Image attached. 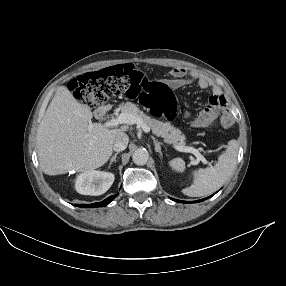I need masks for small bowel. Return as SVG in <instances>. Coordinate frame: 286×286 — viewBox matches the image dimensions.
<instances>
[{
  "label": "small bowel",
  "instance_id": "small-bowel-1",
  "mask_svg": "<svg viewBox=\"0 0 286 286\" xmlns=\"http://www.w3.org/2000/svg\"><path fill=\"white\" fill-rule=\"evenodd\" d=\"M171 79L168 80V85L172 90H177L178 88L189 84L196 83L201 89H212V95L210 96L207 106L201 111L199 115H210V112H215L217 114H222L227 119L229 116V107L226 102L224 95L221 91L212 83V81L202 73L188 70L184 67H176L170 71ZM184 117H189L190 112L184 111ZM194 126V121L192 122Z\"/></svg>",
  "mask_w": 286,
  "mask_h": 286
}]
</instances>
